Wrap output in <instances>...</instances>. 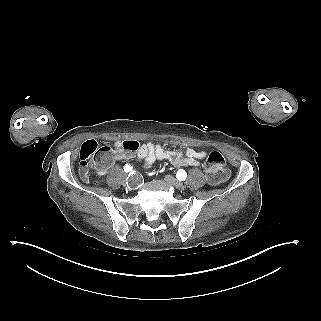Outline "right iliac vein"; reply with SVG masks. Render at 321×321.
I'll return each instance as SVG.
<instances>
[{"label":"right iliac vein","instance_id":"1","mask_svg":"<svg viewBox=\"0 0 321 321\" xmlns=\"http://www.w3.org/2000/svg\"><path fill=\"white\" fill-rule=\"evenodd\" d=\"M123 185H127V182L125 180H123Z\"/></svg>","mask_w":321,"mask_h":321}]
</instances>
